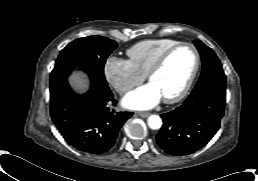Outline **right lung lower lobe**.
<instances>
[{
    "instance_id": "98d812e1",
    "label": "right lung lower lobe",
    "mask_w": 258,
    "mask_h": 181,
    "mask_svg": "<svg viewBox=\"0 0 258 181\" xmlns=\"http://www.w3.org/2000/svg\"><path fill=\"white\" fill-rule=\"evenodd\" d=\"M71 70L54 67L50 75V113L65 140L75 149L91 154L107 152L132 112H115L107 83L91 82L88 93L72 92L67 78Z\"/></svg>"
}]
</instances>
